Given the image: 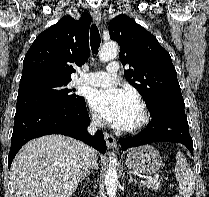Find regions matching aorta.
<instances>
[{
  "mask_svg": "<svg viewBox=\"0 0 209 197\" xmlns=\"http://www.w3.org/2000/svg\"><path fill=\"white\" fill-rule=\"evenodd\" d=\"M118 54V44L114 41L105 43L99 52V58L102 62H108L114 59ZM116 158L114 154H109V166L104 175V184L109 197H115L118 184L117 170L115 168Z\"/></svg>",
  "mask_w": 209,
  "mask_h": 197,
  "instance_id": "obj_1",
  "label": "aorta"
}]
</instances>
